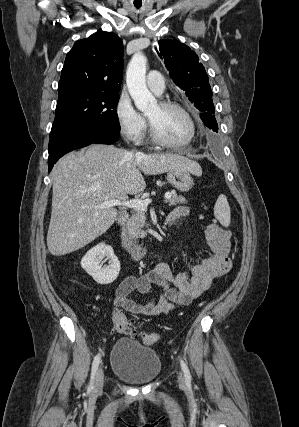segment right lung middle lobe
<instances>
[{
    "label": "right lung middle lobe",
    "mask_w": 299,
    "mask_h": 427,
    "mask_svg": "<svg viewBox=\"0 0 299 427\" xmlns=\"http://www.w3.org/2000/svg\"><path fill=\"white\" fill-rule=\"evenodd\" d=\"M118 100V92H84L58 100L50 137L73 128L119 132Z\"/></svg>",
    "instance_id": "dd1d6c3e"
}]
</instances>
